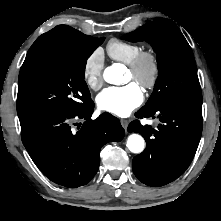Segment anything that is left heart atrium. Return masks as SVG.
<instances>
[{"label": "left heart atrium", "mask_w": 221, "mask_h": 221, "mask_svg": "<svg viewBox=\"0 0 221 221\" xmlns=\"http://www.w3.org/2000/svg\"><path fill=\"white\" fill-rule=\"evenodd\" d=\"M143 92L140 86L131 82L120 87H108L96 98L97 106L102 111L124 117L130 114L143 102Z\"/></svg>", "instance_id": "obj_1"}]
</instances>
